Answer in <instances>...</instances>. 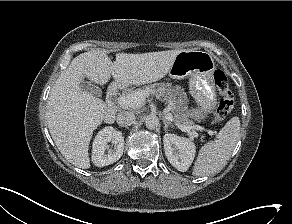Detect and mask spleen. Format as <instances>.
Here are the masks:
<instances>
[{
	"label": "spleen",
	"instance_id": "obj_1",
	"mask_svg": "<svg viewBox=\"0 0 292 224\" xmlns=\"http://www.w3.org/2000/svg\"><path fill=\"white\" fill-rule=\"evenodd\" d=\"M240 120L231 118L219 131L217 138L201 147L195 162L193 175L205 176L222 170L238 141Z\"/></svg>",
	"mask_w": 292,
	"mask_h": 224
}]
</instances>
